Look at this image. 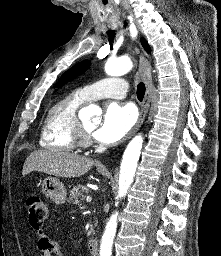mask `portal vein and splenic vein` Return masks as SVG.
<instances>
[{
  "label": "portal vein and splenic vein",
  "instance_id": "portal-vein-and-splenic-vein-1",
  "mask_svg": "<svg viewBox=\"0 0 221 256\" xmlns=\"http://www.w3.org/2000/svg\"><path fill=\"white\" fill-rule=\"evenodd\" d=\"M91 201H92V198H91L90 196H87V197H86V202H87V203H90Z\"/></svg>",
  "mask_w": 221,
  "mask_h": 256
}]
</instances>
